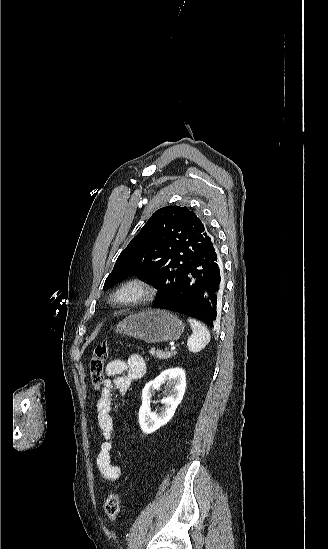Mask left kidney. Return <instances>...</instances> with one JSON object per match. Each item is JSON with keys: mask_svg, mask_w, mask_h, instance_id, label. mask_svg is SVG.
<instances>
[{"mask_svg": "<svg viewBox=\"0 0 328 549\" xmlns=\"http://www.w3.org/2000/svg\"><path fill=\"white\" fill-rule=\"evenodd\" d=\"M165 383L168 387L169 385H173L171 387L172 391H170L169 397L161 399L160 403L164 405V409L159 415H156V413H151V397L154 391L160 389L161 385H165ZM185 387V371L179 369V367H176V369H166L154 381H149L145 385L142 391V405L139 409V423L145 435L154 433V431H157V429H160V427H163V425H166L172 419L180 401L183 399Z\"/></svg>", "mask_w": 328, "mask_h": 549, "instance_id": "obj_1", "label": "left kidney"}]
</instances>
